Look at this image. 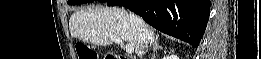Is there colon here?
<instances>
[{
	"label": "colon",
	"mask_w": 261,
	"mask_h": 59,
	"mask_svg": "<svg viewBox=\"0 0 261 59\" xmlns=\"http://www.w3.org/2000/svg\"><path fill=\"white\" fill-rule=\"evenodd\" d=\"M77 55L79 59H97V53L88 45L80 43L77 45Z\"/></svg>",
	"instance_id": "1"
}]
</instances>
